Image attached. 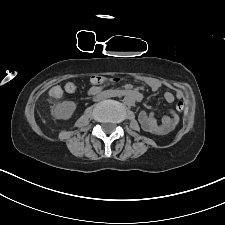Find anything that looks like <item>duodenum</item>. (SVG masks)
Wrapping results in <instances>:
<instances>
[{
	"instance_id": "1",
	"label": "duodenum",
	"mask_w": 225,
	"mask_h": 225,
	"mask_svg": "<svg viewBox=\"0 0 225 225\" xmlns=\"http://www.w3.org/2000/svg\"><path fill=\"white\" fill-rule=\"evenodd\" d=\"M96 96L100 99H105L114 96H125L127 100H131L133 102L140 101L142 96L140 93L136 91H125V90H109L103 91L96 94Z\"/></svg>"
}]
</instances>
